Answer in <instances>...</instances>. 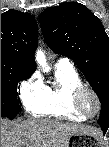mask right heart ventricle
<instances>
[{
  "label": "right heart ventricle",
  "instance_id": "right-heart-ventricle-1",
  "mask_svg": "<svg viewBox=\"0 0 109 147\" xmlns=\"http://www.w3.org/2000/svg\"><path fill=\"white\" fill-rule=\"evenodd\" d=\"M44 100L26 103V109L35 116H51L73 122H83L87 117L79 114L72 105L75 90L84 85L73 67H55L54 79L43 84Z\"/></svg>",
  "mask_w": 109,
  "mask_h": 147
}]
</instances>
